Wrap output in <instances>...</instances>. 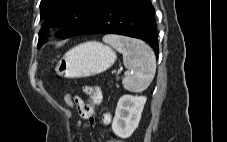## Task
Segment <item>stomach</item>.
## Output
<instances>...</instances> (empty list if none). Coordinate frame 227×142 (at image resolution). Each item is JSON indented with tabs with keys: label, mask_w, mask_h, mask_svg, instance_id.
<instances>
[{
	"label": "stomach",
	"mask_w": 227,
	"mask_h": 142,
	"mask_svg": "<svg viewBox=\"0 0 227 142\" xmlns=\"http://www.w3.org/2000/svg\"><path fill=\"white\" fill-rule=\"evenodd\" d=\"M116 60L115 52L99 42L79 44L65 53L55 66L65 78L90 77L106 71Z\"/></svg>",
	"instance_id": "obj_1"
}]
</instances>
